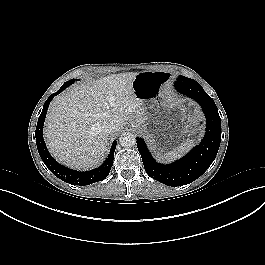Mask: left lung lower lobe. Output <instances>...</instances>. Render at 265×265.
<instances>
[{"label": "left lung lower lobe", "mask_w": 265, "mask_h": 265, "mask_svg": "<svg viewBox=\"0 0 265 265\" xmlns=\"http://www.w3.org/2000/svg\"><path fill=\"white\" fill-rule=\"evenodd\" d=\"M175 88L182 94L197 101L207 120L206 133L202 142L178 161L164 165L157 163L143 139L137 137L146 173L153 179L168 186H183L199 178L214 161L221 141V120L213 99L193 79L177 78Z\"/></svg>", "instance_id": "obj_1"}]
</instances>
